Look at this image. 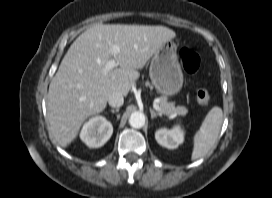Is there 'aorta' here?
<instances>
[{"label":"aorta","mask_w":272,"mask_h":198,"mask_svg":"<svg viewBox=\"0 0 272 198\" xmlns=\"http://www.w3.org/2000/svg\"><path fill=\"white\" fill-rule=\"evenodd\" d=\"M129 123L133 128H142L145 124V115L142 112H133L130 115Z\"/></svg>","instance_id":"obj_1"}]
</instances>
